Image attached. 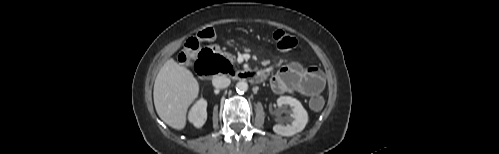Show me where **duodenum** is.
<instances>
[{"label": "duodenum", "mask_w": 499, "mask_h": 154, "mask_svg": "<svg viewBox=\"0 0 499 154\" xmlns=\"http://www.w3.org/2000/svg\"><path fill=\"white\" fill-rule=\"evenodd\" d=\"M214 58H219V56L214 52L209 51L207 57L198 60L196 69L201 76L208 77L212 74V71L217 68L218 65L214 61ZM230 76L234 80L248 81L253 84L262 83L265 79V76L261 72L255 70L234 71L230 73Z\"/></svg>", "instance_id": "1"}]
</instances>
